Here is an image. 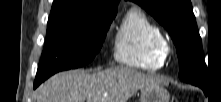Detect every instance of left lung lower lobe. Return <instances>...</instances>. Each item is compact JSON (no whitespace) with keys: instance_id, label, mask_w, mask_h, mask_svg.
I'll use <instances>...</instances> for the list:
<instances>
[{"instance_id":"1","label":"left lung lower lobe","mask_w":221,"mask_h":102,"mask_svg":"<svg viewBox=\"0 0 221 102\" xmlns=\"http://www.w3.org/2000/svg\"><path fill=\"white\" fill-rule=\"evenodd\" d=\"M206 86H202V89L204 90Z\"/></svg>"}]
</instances>
